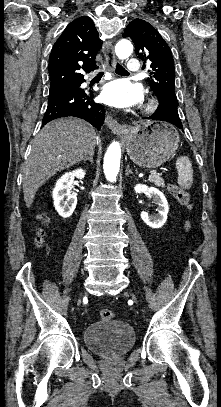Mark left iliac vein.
<instances>
[{
  "instance_id": "4c4485c4",
  "label": "left iliac vein",
  "mask_w": 221,
  "mask_h": 407,
  "mask_svg": "<svg viewBox=\"0 0 221 407\" xmlns=\"http://www.w3.org/2000/svg\"><path fill=\"white\" fill-rule=\"evenodd\" d=\"M131 297H132L135 301H137V298H136L135 294L132 293V292H131Z\"/></svg>"
}]
</instances>
